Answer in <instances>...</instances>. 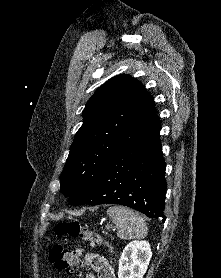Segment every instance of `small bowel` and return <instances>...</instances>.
Segmentation results:
<instances>
[{
  "label": "small bowel",
  "instance_id": "c3829d8e",
  "mask_svg": "<svg viewBox=\"0 0 221 278\" xmlns=\"http://www.w3.org/2000/svg\"><path fill=\"white\" fill-rule=\"evenodd\" d=\"M82 262L93 271L90 278H115L114 269L108 260L96 253L82 254Z\"/></svg>",
  "mask_w": 221,
  "mask_h": 278
}]
</instances>
